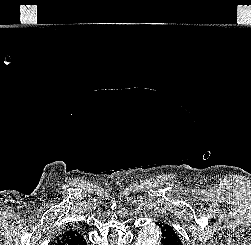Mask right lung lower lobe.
<instances>
[{
    "label": "right lung lower lobe",
    "instance_id": "right-lung-lower-lobe-1",
    "mask_svg": "<svg viewBox=\"0 0 251 245\" xmlns=\"http://www.w3.org/2000/svg\"><path fill=\"white\" fill-rule=\"evenodd\" d=\"M52 245H87L83 236L76 230H68L58 235Z\"/></svg>",
    "mask_w": 251,
    "mask_h": 245
}]
</instances>
